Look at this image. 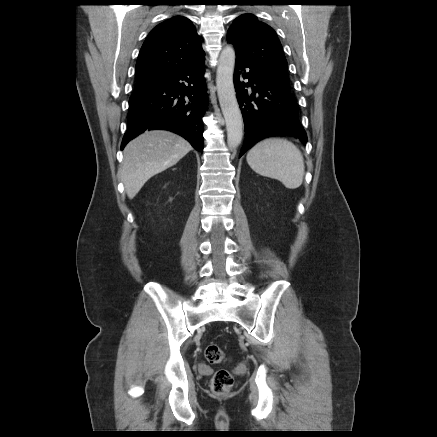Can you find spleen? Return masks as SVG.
I'll list each match as a JSON object with an SVG mask.
<instances>
[{"instance_id":"3e777b00","label":"spleen","mask_w":437,"mask_h":437,"mask_svg":"<svg viewBox=\"0 0 437 437\" xmlns=\"http://www.w3.org/2000/svg\"><path fill=\"white\" fill-rule=\"evenodd\" d=\"M246 160L256 173L279 180L288 189H296L303 182V155L286 139L267 138L258 142L249 150Z\"/></svg>"}]
</instances>
